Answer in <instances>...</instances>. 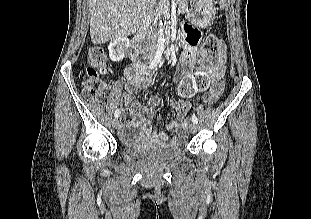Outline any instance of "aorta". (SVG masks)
<instances>
[{
    "label": "aorta",
    "mask_w": 311,
    "mask_h": 219,
    "mask_svg": "<svg viewBox=\"0 0 311 219\" xmlns=\"http://www.w3.org/2000/svg\"><path fill=\"white\" fill-rule=\"evenodd\" d=\"M157 47L160 49H164V47H165V35H164V28H163L162 21H160V23H159Z\"/></svg>",
    "instance_id": "762f6f07"
}]
</instances>
